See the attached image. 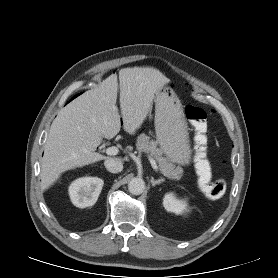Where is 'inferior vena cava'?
<instances>
[{
  "label": "inferior vena cava",
  "mask_w": 278,
  "mask_h": 278,
  "mask_svg": "<svg viewBox=\"0 0 278 278\" xmlns=\"http://www.w3.org/2000/svg\"><path fill=\"white\" fill-rule=\"evenodd\" d=\"M104 165L106 169L111 173L121 172L123 169V163L120 160L108 158L105 160Z\"/></svg>",
  "instance_id": "1"
}]
</instances>
